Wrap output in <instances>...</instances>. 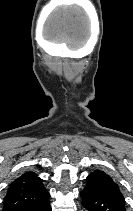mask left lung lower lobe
Listing matches in <instances>:
<instances>
[{"instance_id":"1","label":"left lung lower lobe","mask_w":133,"mask_h":211,"mask_svg":"<svg viewBox=\"0 0 133 211\" xmlns=\"http://www.w3.org/2000/svg\"><path fill=\"white\" fill-rule=\"evenodd\" d=\"M83 206L88 211H126L125 201L121 198L100 193L86 186L80 193Z\"/></svg>"}]
</instances>
